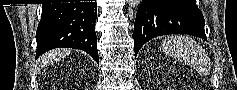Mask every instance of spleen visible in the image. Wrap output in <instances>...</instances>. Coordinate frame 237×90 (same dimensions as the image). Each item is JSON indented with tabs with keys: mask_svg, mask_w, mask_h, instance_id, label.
Wrapping results in <instances>:
<instances>
[{
	"mask_svg": "<svg viewBox=\"0 0 237 90\" xmlns=\"http://www.w3.org/2000/svg\"><path fill=\"white\" fill-rule=\"evenodd\" d=\"M161 48L167 56H172L178 62H186L193 68H201V64L207 62L202 46L189 36H170L163 40Z\"/></svg>",
	"mask_w": 237,
	"mask_h": 90,
	"instance_id": "spleen-1",
	"label": "spleen"
}]
</instances>
